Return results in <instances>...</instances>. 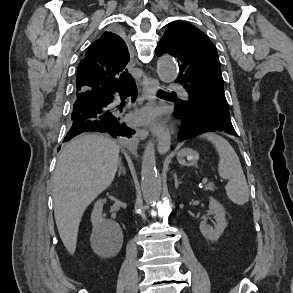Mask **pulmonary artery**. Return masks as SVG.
I'll use <instances>...</instances> for the list:
<instances>
[{"mask_svg": "<svg viewBox=\"0 0 293 293\" xmlns=\"http://www.w3.org/2000/svg\"><path fill=\"white\" fill-rule=\"evenodd\" d=\"M171 88L179 91L182 96H187L186 91L180 85L171 84Z\"/></svg>", "mask_w": 293, "mask_h": 293, "instance_id": "pulmonary-artery-1", "label": "pulmonary artery"}]
</instances>
